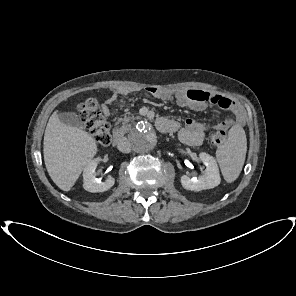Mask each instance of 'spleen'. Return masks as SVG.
<instances>
[{"label": "spleen", "instance_id": "3e777b00", "mask_svg": "<svg viewBox=\"0 0 296 296\" xmlns=\"http://www.w3.org/2000/svg\"><path fill=\"white\" fill-rule=\"evenodd\" d=\"M247 152V138L240 125H234L228 131V138L216 151L224 179L231 183L235 181L244 165Z\"/></svg>", "mask_w": 296, "mask_h": 296}]
</instances>
